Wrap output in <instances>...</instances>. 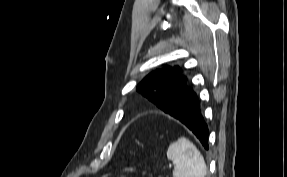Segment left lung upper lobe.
<instances>
[{
  "label": "left lung upper lobe",
  "instance_id": "obj_1",
  "mask_svg": "<svg viewBox=\"0 0 287 177\" xmlns=\"http://www.w3.org/2000/svg\"><path fill=\"white\" fill-rule=\"evenodd\" d=\"M187 78L178 66H166L147 75L137 86V91L168 113L173 96L188 89Z\"/></svg>",
  "mask_w": 287,
  "mask_h": 177
}]
</instances>
